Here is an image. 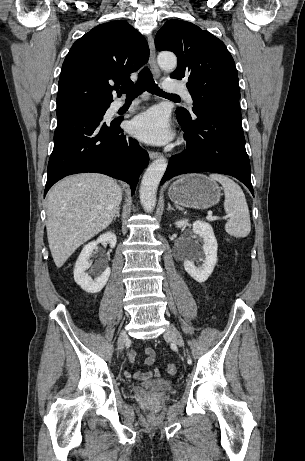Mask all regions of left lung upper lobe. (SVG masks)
Returning a JSON list of instances; mask_svg holds the SVG:
<instances>
[{"label":"left lung upper lobe","mask_w":305,"mask_h":461,"mask_svg":"<svg viewBox=\"0 0 305 461\" xmlns=\"http://www.w3.org/2000/svg\"><path fill=\"white\" fill-rule=\"evenodd\" d=\"M155 47L176 54L177 69L172 78L185 79L193 99L192 111L214 100L240 98L238 72L224 43L208 31L181 20L166 22L157 32ZM176 114L189 116L183 108Z\"/></svg>","instance_id":"left-lung-upper-lobe-1"}]
</instances>
